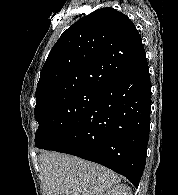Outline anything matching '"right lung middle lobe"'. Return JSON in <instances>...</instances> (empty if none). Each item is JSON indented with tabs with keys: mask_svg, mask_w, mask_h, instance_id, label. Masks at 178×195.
I'll use <instances>...</instances> for the list:
<instances>
[{
	"mask_svg": "<svg viewBox=\"0 0 178 195\" xmlns=\"http://www.w3.org/2000/svg\"><path fill=\"white\" fill-rule=\"evenodd\" d=\"M97 95V90H76L53 96L35 106V118L39 123L35 134L36 147L55 149L83 119Z\"/></svg>",
	"mask_w": 178,
	"mask_h": 195,
	"instance_id": "dd1d6c3e",
	"label": "right lung middle lobe"
}]
</instances>
